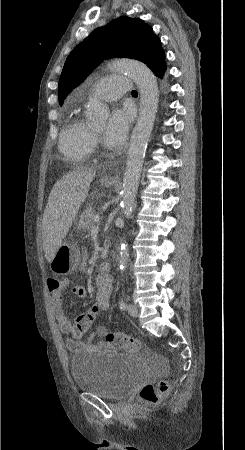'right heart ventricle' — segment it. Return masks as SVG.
<instances>
[{"instance_id":"obj_1","label":"right heart ventricle","mask_w":245,"mask_h":450,"mask_svg":"<svg viewBox=\"0 0 245 450\" xmlns=\"http://www.w3.org/2000/svg\"><path fill=\"white\" fill-rule=\"evenodd\" d=\"M59 147L61 152L77 162H85L94 147L93 128L90 122L73 111L63 128Z\"/></svg>"}]
</instances>
